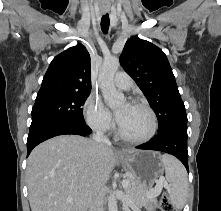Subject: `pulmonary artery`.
Wrapping results in <instances>:
<instances>
[{
  "label": "pulmonary artery",
  "mask_w": 221,
  "mask_h": 211,
  "mask_svg": "<svg viewBox=\"0 0 221 211\" xmlns=\"http://www.w3.org/2000/svg\"><path fill=\"white\" fill-rule=\"evenodd\" d=\"M114 84L122 90H129L132 87L133 81L128 73L117 72L114 77Z\"/></svg>",
  "instance_id": "1"
}]
</instances>
